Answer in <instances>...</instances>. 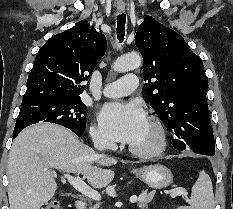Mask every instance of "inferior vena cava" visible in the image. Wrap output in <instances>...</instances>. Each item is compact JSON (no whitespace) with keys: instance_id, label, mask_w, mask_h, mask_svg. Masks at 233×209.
Returning a JSON list of instances; mask_svg holds the SVG:
<instances>
[{"instance_id":"602c4592","label":"inferior vena cava","mask_w":233,"mask_h":209,"mask_svg":"<svg viewBox=\"0 0 233 209\" xmlns=\"http://www.w3.org/2000/svg\"><path fill=\"white\" fill-rule=\"evenodd\" d=\"M94 147L100 151L105 150L109 146V142L101 137H95L93 139Z\"/></svg>"}]
</instances>
